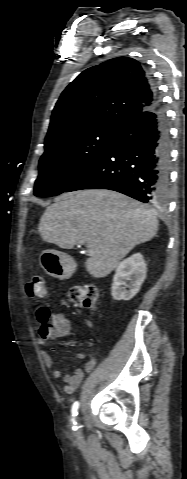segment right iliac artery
<instances>
[{"mask_svg":"<svg viewBox=\"0 0 187 479\" xmlns=\"http://www.w3.org/2000/svg\"><path fill=\"white\" fill-rule=\"evenodd\" d=\"M78 408H79V402L76 401V402L73 404V406H72V411H71V412H72V417H73V418H72V423H73L72 429H73L74 431L77 430V426H75V425H76L75 416H77V414H78Z\"/></svg>","mask_w":187,"mask_h":479,"instance_id":"right-iliac-artery-1","label":"right iliac artery"}]
</instances>
